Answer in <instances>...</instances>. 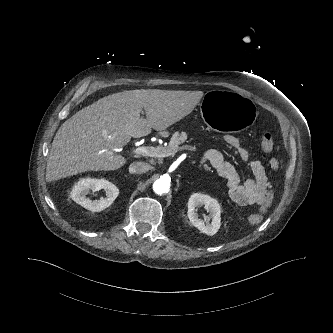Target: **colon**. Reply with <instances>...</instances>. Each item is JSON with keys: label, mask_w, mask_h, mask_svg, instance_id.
<instances>
[{"label": "colon", "mask_w": 333, "mask_h": 333, "mask_svg": "<svg viewBox=\"0 0 333 333\" xmlns=\"http://www.w3.org/2000/svg\"><path fill=\"white\" fill-rule=\"evenodd\" d=\"M273 146H274L273 135L269 132L264 133L260 140V149L263 156L269 154L273 150ZM272 199H273V194L269 192L266 195L260 210L249 216V222L251 224L257 225L261 223V221L263 220V213L271 206Z\"/></svg>", "instance_id": "5ec220e1"}]
</instances>
